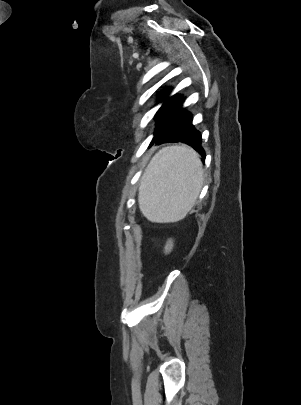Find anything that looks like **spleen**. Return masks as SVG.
I'll return each mask as SVG.
<instances>
[{
    "label": "spleen",
    "instance_id": "obj_1",
    "mask_svg": "<svg viewBox=\"0 0 301 405\" xmlns=\"http://www.w3.org/2000/svg\"><path fill=\"white\" fill-rule=\"evenodd\" d=\"M202 185V163L193 149L184 145L163 148L141 179L139 208L151 222H177L191 210Z\"/></svg>",
    "mask_w": 301,
    "mask_h": 405
}]
</instances>
